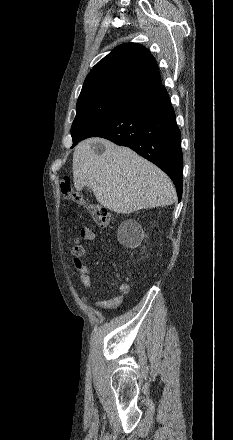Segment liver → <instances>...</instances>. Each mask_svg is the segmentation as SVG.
<instances>
[{
	"mask_svg": "<svg viewBox=\"0 0 233 440\" xmlns=\"http://www.w3.org/2000/svg\"><path fill=\"white\" fill-rule=\"evenodd\" d=\"M95 144L105 147L101 155L92 149ZM72 170L77 191L90 187L97 201L116 213L168 206L176 199L173 183L163 171L103 138H89L76 146Z\"/></svg>",
	"mask_w": 233,
	"mask_h": 440,
	"instance_id": "obj_1",
	"label": "liver"
}]
</instances>
